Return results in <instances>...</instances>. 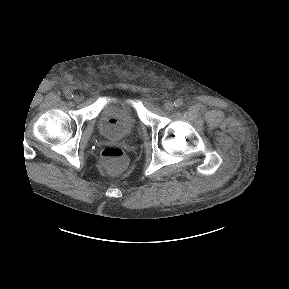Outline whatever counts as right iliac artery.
<instances>
[{
  "instance_id": "obj_1",
  "label": "right iliac artery",
  "mask_w": 289,
  "mask_h": 289,
  "mask_svg": "<svg viewBox=\"0 0 289 289\" xmlns=\"http://www.w3.org/2000/svg\"><path fill=\"white\" fill-rule=\"evenodd\" d=\"M66 97H67L68 99H72V98H73V94H72L71 92H67V93H66Z\"/></svg>"
}]
</instances>
